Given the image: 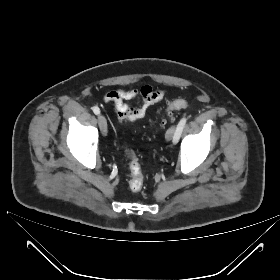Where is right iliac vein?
Here are the masks:
<instances>
[{
  "instance_id": "63e3f726",
  "label": "right iliac vein",
  "mask_w": 280,
  "mask_h": 280,
  "mask_svg": "<svg viewBox=\"0 0 280 280\" xmlns=\"http://www.w3.org/2000/svg\"><path fill=\"white\" fill-rule=\"evenodd\" d=\"M98 124L103 136L107 134V121L103 115H98Z\"/></svg>"
}]
</instances>
